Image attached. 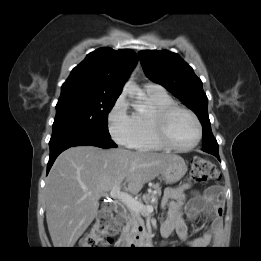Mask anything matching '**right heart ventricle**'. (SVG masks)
<instances>
[{"label": "right heart ventricle", "instance_id": "1", "mask_svg": "<svg viewBox=\"0 0 261 261\" xmlns=\"http://www.w3.org/2000/svg\"><path fill=\"white\" fill-rule=\"evenodd\" d=\"M146 99L150 104V110L133 113L137 133L131 147L141 151L161 150L163 147L157 142L152 130L151 115L153 112L173 104L174 101L165 91L146 92Z\"/></svg>", "mask_w": 261, "mask_h": 261}]
</instances>
